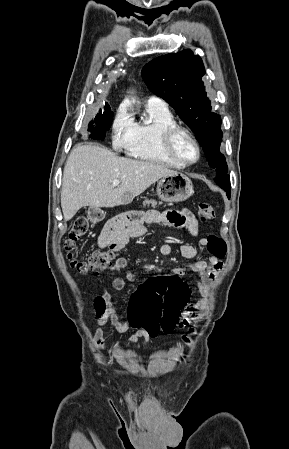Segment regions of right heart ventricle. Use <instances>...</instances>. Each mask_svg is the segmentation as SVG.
Instances as JSON below:
<instances>
[{
  "label": "right heart ventricle",
  "mask_w": 289,
  "mask_h": 449,
  "mask_svg": "<svg viewBox=\"0 0 289 449\" xmlns=\"http://www.w3.org/2000/svg\"><path fill=\"white\" fill-rule=\"evenodd\" d=\"M146 115L145 120L136 123L135 141L128 149L130 154L139 159L183 168L166 154L162 143L164 131L178 126L170 110L167 107L147 105Z\"/></svg>",
  "instance_id": "e07e8e85"
}]
</instances>
